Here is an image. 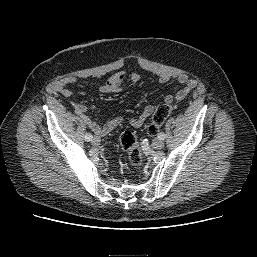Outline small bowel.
<instances>
[{
    "label": "small bowel",
    "instance_id": "small-bowel-1",
    "mask_svg": "<svg viewBox=\"0 0 257 257\" xmlns=\"http://www.w3.org/2000/svg\"><path fill=\"white\" fill-rule=\"evenodd\" d=\"M158 81L161 84H165L170 80V75L164 72H159L156 74ZM129 79L130 85H134L141 80V75L137 72H132L128 74L126 71H118L111 75L107 81L100 87L102 93H116L122 90L123 83L126 79ZM177 81L183 85V88L180 89L175 96L166 95L164 97L165 103H172L174 100L181 101L183 100L190 91L196 86L195 80L190 78L186 74H181L177 77ZM78 82L75 77H67L62 79L57 83V89L65 96L69 97L71 91L67 88L68 85H73ZM157 107L153 104L145 106L142 113L130 120V125L139 128L141 127L146 120L154 113ZM75 113L81 117L84 123L95 133L97 136H105L114 130L117 125L122 121L121 117H115L106 123L102 124L99 121L92 119L87 114V107L81 103L75 104Z\"/></svg>",
    "mask_w": 257,
    "mask_h": 257
}]
</instances>
